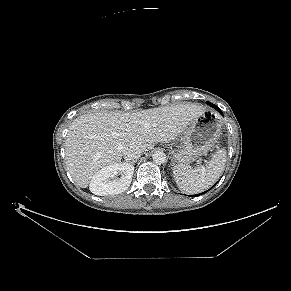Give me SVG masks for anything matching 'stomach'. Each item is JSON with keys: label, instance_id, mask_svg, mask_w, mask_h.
<instances>
[{"label": "stomach", "instance_id": "stomach-1", "mask_svg": "<svg viewBox=\"0 0 291 291\" xmlns=\"http://www.w3.org/2000/svg\"><path fill=\"white\" fill-rule=\"evenodd\" d=\"M220 135L219 117L213 111H205L183 131L178 148L172 152L173 160L177 164L192 162L195 158L210 151L217 144Z\"/></svg>", "mask_w": 291, "mask_h": 291}]
</instances>
